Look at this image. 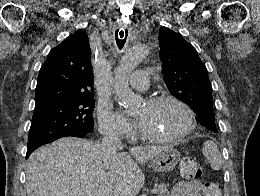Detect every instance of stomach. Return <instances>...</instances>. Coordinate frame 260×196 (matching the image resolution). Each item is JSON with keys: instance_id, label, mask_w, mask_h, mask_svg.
<instances>
[{"instance_id": "0dacf381", "label": "stomach", "mask_w": 260, "mask_h": 196, "mask_svg": "<svg viewBox=\"0 0 260 196\" xmlns=\"http://www.w3.org/2000/svg\"><path fill=\"white\" fill-rule=\"evenodd\" d=\"M180 160V152L174 150L172 146H166L161 154H158L154 160H150L149 168L155 172H172Z\"/></svg>"}]
</instances>
